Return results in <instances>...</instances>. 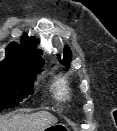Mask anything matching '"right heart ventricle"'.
<instances>
[{
    "label": "right heart ventricle",
    "mask_w": 117,
    "mask_h": 131,
    "mask_svg": "<svg viewBox=\"0 0 117 131\" xmlns=\"http://www.w3.org/2000/svg\"><path fill=\"white\" fill-rule=\"evenodd\" d=\"M55 91L59 96H65L69 93V86L67 80L58 78L55 83Z\"/></svg>",
    "instance_id": "e07e8e85"
}]
</instances>
